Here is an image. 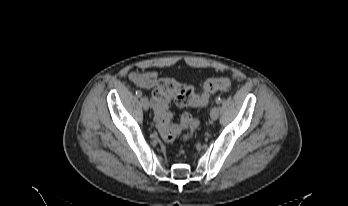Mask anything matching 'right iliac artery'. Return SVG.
Returning a JSON list of instances; mask_svg holds the SVG:
<instances>
[{
    "label": "right iliac artery",
    "mask_w": 348,
    "mask_h": 206,
    "mask_svg": "<svg viewBox=\"0 0 348 206\" xmlns=\"http://www.w3.org/2000/svg\"><path fill=\"white\" fill-rule=\"evenodd\" d=\"M136 95H137L138 97H141V96H142V92H141L140 90H137V91H136Z\"/></svg>",
    "instance_id": "82829eb1"
}]
</instances>
